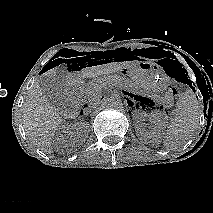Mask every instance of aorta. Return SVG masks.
<instances>
[{
  "instance_id": "obj_1",
  "label": "aorta",
  "mask_w": 213,
  "mask_h": 213,
  "mask_svg": "<svg viewBox=\"0 0 213 213\" xmlns=\"http://www.w3.org/2000/svg\"><path fill=\"white\" fill-rule=\"evenodd\" d=\"M106 103L111 108H119L122 106V98L119 94L113 93L107 98Z\"/></svg>"
}]
</instances>
